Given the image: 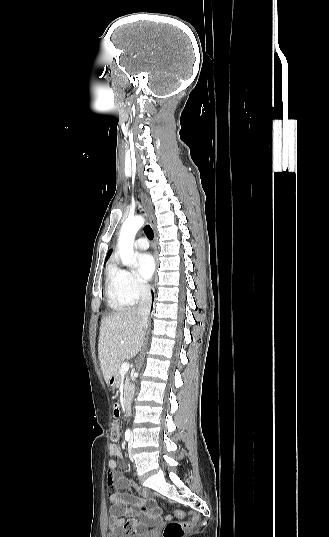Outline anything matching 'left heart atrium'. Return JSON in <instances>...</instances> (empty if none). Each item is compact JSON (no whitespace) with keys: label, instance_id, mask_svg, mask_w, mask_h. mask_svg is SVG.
I'll use <instances>...</instances> for the list:
<instances>
[{"label":"left heart atrium","instance_id":"1","mask_svg":"<svg viewBox=\"0 0 329 537\" xmlns=\"http://www.w3.org/2000/svg\"><path fill=\"white\" fill-rule=\"evenodd\" d=\"M137 270L140 277L147 281L152 276L155 269L153 256L149 253H141L137 256Z\"/></svg>","mask_w":329,"mask_h":537}]
</instances>
